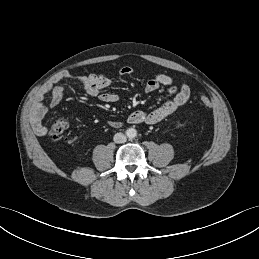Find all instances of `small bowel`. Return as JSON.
<instances>
[{
	"label": "small bowel",
	"instance_id": "obj_1",
	"mask_svg": "<svg viewBox=\"0 0 259 259\" xmlns=\"http://www.w3.org/2000/svg\"><path fill=\"white\" fill-rule=\"evenodd\" d=\"M132 72L133 69L129 66H125L121 69V74L124 76L130 75ZM60 79H68L79 83L89 96L98 98L103 102L115 103L119 100V95L116 93L102 92L104 88L112 84L111 78L104 74L93 73L87 75H73L68 72H64L61 74ZM160 87H166L171 98L148 114H145L142 111L131 113L128 117V121L130 123L139 124L145 122L147 124H156L182 107L190 98L189 87L184 84L176 85L172 77L167 74H156L145 84V90L147 92H155ZM64 93L65 87L62 85H55L51 89V108H55L60 104ZM43 97L44 91H41L36 95V101L29 115V122L32 131L38 136H45L48 132L47 127L43 124V119L48 112L47 106L42 103ZM109 124L112 127H118L121 125L119 121H110Z\"/></svg>",
	"mask_w": 259,
	"mask_h": 259
}]
</instances>
